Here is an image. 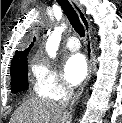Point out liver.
Listing matches in <instances>:
<instances>
[{"label": "liver", "mask_w": 122, "mask_h": 123, "mask_svg": "<svg viewBox=\"0 0 122 123\" xmlns=\"http://www.w3.org/2000/svg\"><path fill=\"white\" fill-rule=\"evenodd\" d=\"M69 115L50 99L30 98L14 112L10 123H68Z\"/></svg>", "instance_id": "6515ba94"}]
</instances>
